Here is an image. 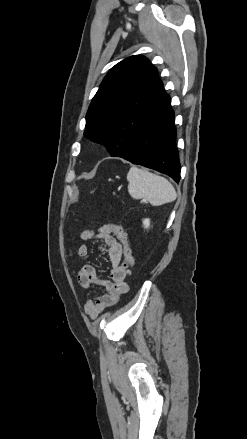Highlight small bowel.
<instances>
[{
    "label": "small bowel",
    "instance_id": "small-bowel-1",
    "mask_svg": "<svg viewBox=\"0 0 247 439\" xmlns=\"http://www.w3.org/2000/svg\"><path fill=\"white\" fill-rule=\"evenodd\" d=\"M112 233L105 226L96 231L86 230L82 234L84 242L78 248L79 257L86 258L89 254V247L85 241L102 239L104 246L100 250L107 254L111 264L110 278L98 276L95 267L91 264L83 265L78 272V282L84 289H89L91 286H100L106 291L102 296L96 299H87L84 302V310L91 318H96L106 308L116 304L119 297L128 292L126 283L128 272L122 263L123 247Z\"/></svg>",
    "mask_w": 247,
    "mask_h": 439
}]
</instances>
